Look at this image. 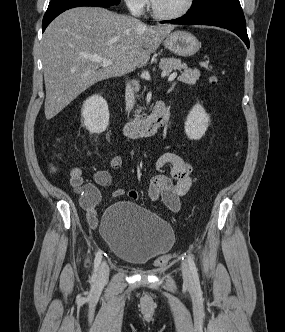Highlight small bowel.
<instances>
[{
    "mask_svg": "<svg viewBox=\"0 0 285 332\" xmlns=\"http://www.w3.org/2000/svg\"><path fill=\"white\" fill-rule=\"evenodd\" d=\"M122 165V157L115 155L110 160V167L117 170ZM169 166L171 177L176 180L173 182L171 178L165 175H156L152 178L149 186V197L153 201L161 200L166 207L177 212L180 209V197L185 195L192 184V167L180 155L174 152H165L158 157L155 167L161 169ZM70 185L79 195L80 205L86 211L88 223L95 227L97 225V215L95 207L100 201V192L93 184H86L83 179V171L80 167H72L70 170ZM97 185L108 187L112 183L111 174L107 170H98L93 175ZM127 195L132 200L139 198V193L135 189H115L112 196L115 198Z\"/></svg>",
    "mask_w": 285,
    "mask_h": 332,
    "instance_id": "obj_1",
    "label": "small bowel"
}]
</instances>
